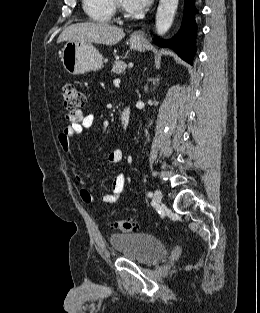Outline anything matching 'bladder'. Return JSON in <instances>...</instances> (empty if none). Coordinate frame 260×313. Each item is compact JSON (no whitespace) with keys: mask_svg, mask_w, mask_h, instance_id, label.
Wrapping results in <instances>:
<instances>
[{"mask_svg":"<svg viewBox=\"0 0 260 313\" xmlns=\"http://www.w3.org/2000/svg\"><path fill=\"white\" fill-rule=\"evenodd\" d=\"M109 242L122 257L141 265H150L167 252L163 242L145 233L113 234Z\"/></svg>","mask_w":260,"mask_h":313,"instance_id":"bladder-1","label":"bladder"}]
</instances>
